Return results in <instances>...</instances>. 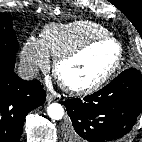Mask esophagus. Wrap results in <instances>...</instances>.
Segmentation results:
<instances>
[{
  "instance_id": "34e87169",
  "label": "esophagus",
  "mask_w": 142,
  "mask_h": 142,
  "mask_svg": "<svg viewBox=\"0 0 142 142\" xmlns=\"http://www.w3.org/2000/svg\"><path fill=\"white\" fill-rule=\"evenodd\" d=\"M54 100V96L51 93H47L46 102L51 103Z\"/></svg>"
}]
</instances>
